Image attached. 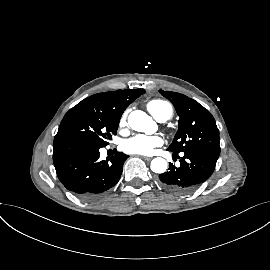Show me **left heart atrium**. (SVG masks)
Returning <instances> with one entry per match:
<instances>
[{"label":"left heart atrium","mask_w":270,"mask_h":270,"mask_svg":"<svg viewBox=\"0 0 270 270\" xmlns=\"http://www.w3.org/2000/svg\"><path fill=\"white\" fill-rule=\"evenodd\" d=\"M162 139L156 135H135L123 143V149L130 154L149 155L152 154L156 147L161 146Z\"/></svg>","instance_id":"obj_1"}]
</instances>
